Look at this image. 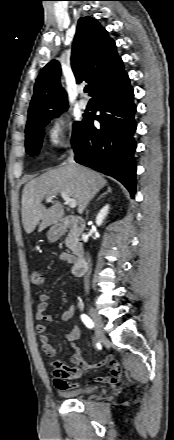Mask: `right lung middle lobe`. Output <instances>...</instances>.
Here are the masks:
<instances>
[{"label": "right lung middle lobe", "mask_w": 174, "mask_h": 440, "mask_svg": "<svg viewBox=\"0 0 174 440\" xmlns=\"http://www.w3.org/2000/svg\"><path fill=\"white\" fill-rule=\"evenodd\" d=\"M59 115H57V116H59ZM57 116H55V117H57ZM51 119L40 122V123L25 130V133H26V140H25L26 152L30 156H33L34 154L37 155L39 153V149L42 144V137L44 135L43 128L50 122ZM80 124H81V122L74 123L72 139H74L75 136L77 135L79 128H80Z\"/></svg>", "instance_id": "dd1d6c3e"}]
</instances>
